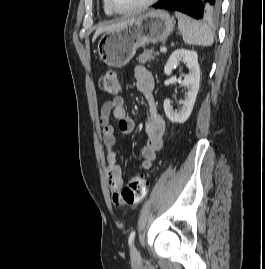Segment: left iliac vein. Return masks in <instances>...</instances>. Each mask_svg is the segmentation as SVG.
<instances>
[{"label":"left iliac vein","mask_w":265,"mask_h":269,"mask_svg":"<svg viewBox=\"0 0 265 269\" xmlns=\"http://www.w3.org/2000/svg\"><path fill=\"white\" fill-rule=\"evenodd\" d=\"M131 257L133 260H139L140 259V253L135 245L131 248Z\"/></svg>","instance_id":"obj_1"}]
</instances>
